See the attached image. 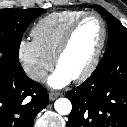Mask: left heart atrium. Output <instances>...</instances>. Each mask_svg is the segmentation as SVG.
Listing matches in <instances>:
<instances>
[{"instance_id":"left-heart-atrium-1","label":"left heart atrium","mask_w":127,"mask_h":127,"mask_svg":"<svg viewBox=\"0 0 127 127\" xmlns=\"http://www.w3.org/2000/svg\"><path fill=\"white\" fill-rule=\"evenodd\" d=\"M73 80V77L59 68L48 78V84L53 88H62L68 85Z\"/></svg>"}]
</instances>
